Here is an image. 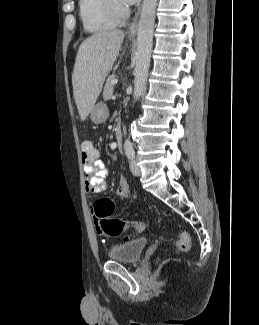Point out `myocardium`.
Segmentation results:
<instances>
[{
    "label": "myocardium",
    "instance_id": "1",
    "mask_svg": "<svg viewBox=\"0 0 259 325\" xmlns=\"http://www.w3.org/2000/svg\"><path fill=\"white\" fill-rule=\"evenodd\" d=\"M106 8L109 14L117 20L126 18L129 14V9L119 0H105Z\"/></svg>",
    "mask_w": 259,
    "mask_h": 325
}]
</instances>
